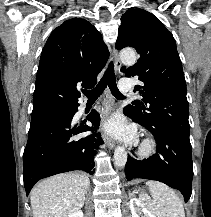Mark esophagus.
Returning a JSON list of instances; mask_svg holds the SVG:
<instances>
[{"mask_svg":"<svg viewBox=\"0 0 211 217\" xmlns=\"http://www.w3.org/2000/svg\"><path fill=\"white\" fill-rule=\"evenodd\" d=\"M111 56H112V59L114 60L116 69L117 70L120 69L122 64H121V61L119 58L118 50L115 47H113V49H112ZM104 97H105V99L108 98V91L105 92ZM109 111H110L109 106L107 105V103H105L104 106L100 110V117H101V123L102 124L107 120L108 115H109ZM103 139H104V141L107 144L109 149H113L115 147V142L106 133L103 134Z\"/></svg>","mask_w":211,"mask_h":217,"instance_id":"esophagus-1","label":"esophagus"}]
</instances>
